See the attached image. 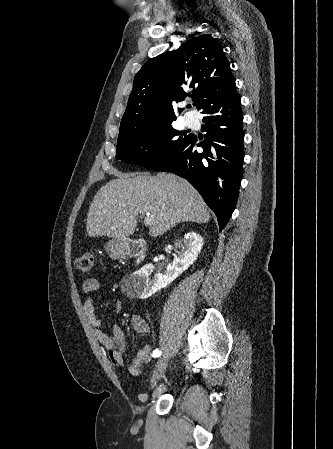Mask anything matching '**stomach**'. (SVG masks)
<instances>
[{
    "label": "stomach",
    "mask_w": 333,
    "mask_h": 449,
    "mask_svg": "<svg viewBox=\"0 0 333 449\" xmlns=\"http://www.w3.org/2000/svg\"><path fill=\"white\" fill-rule=\"evenodd\" d=\"M106 252L112 258H119L125 254L124 245L121 240L113 239L105 245Z\"/></svg>",
    "instance_id": "1"
}]
</instances>
